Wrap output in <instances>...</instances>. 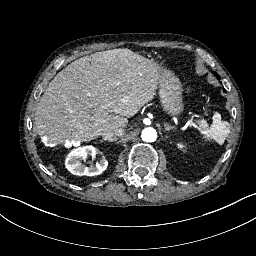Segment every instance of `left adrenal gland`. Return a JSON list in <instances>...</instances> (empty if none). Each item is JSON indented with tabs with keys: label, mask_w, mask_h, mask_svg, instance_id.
Masks as SVG:
<instances>
[{
	"label": "left adrenal gland",
	"mask_w": 256,
	"mask_h": 256,
	"mask_svg": "<svg viewBox=\"0 0 256 256\" xmlns=\"http://www.w3.org/2000/svg\"><path fill=\"white\" fill-rule=\"evenodd\" d=\"M164 127H165V130H166V131H169V130H171V129H175V126H171V125H169L168 123H165V124H164Z\"/></svg>",
	"instance_id": "a2214340"
}]
</instances>
